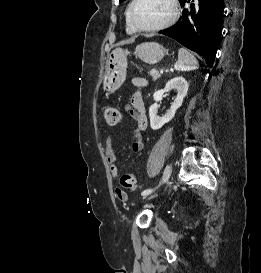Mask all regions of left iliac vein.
<instances>
[{"label":"left iliac vein","mask_w":261,"mask_h":273,"mask_svg":"<svg viewBox=\"0 0 261 273\" xmlns=\"http://www.w3.org/2000/svg\"><path fill=\"white\" fill-rule=\"evenodd\" d=\"M171 172H172V168L170 165H167L165 170H164V173H163V177H162V180H161V183L160 185L164 184L166 181H168V179L170 178L171 176ZM152 196V193H149L148 195H145L144 199H147L149 197Z\"/></svg>","instance_id":"1"}]
</instances>
